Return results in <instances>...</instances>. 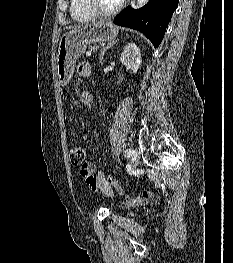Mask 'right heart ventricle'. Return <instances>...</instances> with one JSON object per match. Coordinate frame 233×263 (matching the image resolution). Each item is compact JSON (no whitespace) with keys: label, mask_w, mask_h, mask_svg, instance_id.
I'll list each match as a JSON object with an SVG mask.
<instances>
[{"label":"right heart ventricle","mask_w":233,"mask_h":263,"mask_svg":"<svg viewBox=\"0 0 233 263\" xmlns=\"http://www.w3.org/2000/svg\"><path fill=\"white\" fill-rule=\"evenodd\" d=\"M70 12L74 20L80 22L90 21L94 16L86 9L83 0H71Z\"/></svg>","instance_id":"obj_1"}]
</instances>
